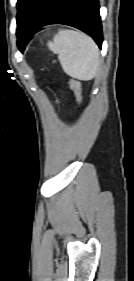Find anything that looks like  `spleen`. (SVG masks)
Instances as JSON below:
<instances>
[{
	"label": "spleen",
	"mask_w": 134,
	"mask_h": 281,
	"mask_svg": "<svg viewBox=\"0 0 134 281\" xmlns=\"http://www.w3.org/2000/svg\"><path fill=\"white\" fill-rule=\"evenodd\" d=\"M47 45L58 53L59 62L67 75L82 81L96 76L100 64L99 50L88 35L62 29Z\"/></svg>",
	"instance_id": "obj_1"
}]
</instances>
